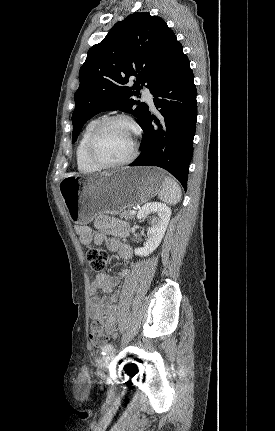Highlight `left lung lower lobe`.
Segmentation results:
<instances>
[{
  "label": "left lung lower lobe",
  "mask_w": 275,
  "mask_h": 431,
  "mask_svg": "<svg viewBox=\"0 0 275 431\" xmlns=\"http://www.w3.org/2000/svg\"><path fill=\"white\" fill-rule=\"evenodd\" d=\"M151 93L161 117L157 119L148 111L141 124L144 131L141 153L129 166L161 167L186 190L197 122V91L182 45L175 49Z\"/></svg>",
  "instance_id": "obj_1"
}]
</instances>
